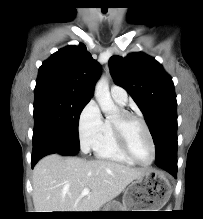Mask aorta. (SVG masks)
<instances>
[{"label": "aorta", "mask_w": 203, "mask_h": 219, "mask_svg": "<svg viewBox=\"0 0 203 219\" xmlns=\"http://www.w3.org/2000/svg\"><path fill=\"white\" fill-rule=\"evenodd\" d=\"M95 98L105 115H111L115 113L118 108L114 104L110 92L108 79L102 76L95 85L94 91Z\"/></svg>", "instance_id": "762f6f07"}]
</instances>
